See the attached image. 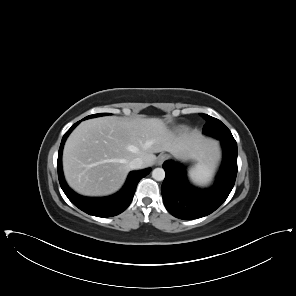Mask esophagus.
Returning <instances> with one entry per match:
<instances>
[{
    "instance_id": "34e87169",
    "label": "esophagus",
    "mask_w": 296,
    "mask_h": 296,
    "mask_svg": "<svg viewBox=\"0 0 296 296\" xmlns=\"http://www.w3.org/2000/svg\"><path fill=\"white\" fill-rule=\"evenodd\" d=\"M166 159H167L166 154L159 155L156 160L157 165H161Z\"/></svg>"
}]
</instances>
